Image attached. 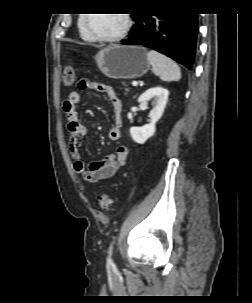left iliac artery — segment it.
Segmentation results:
<instances>
[{"mask_svg":"<svg viewBox=\"0 0 252 303\" xmlns=\"http://www.w3.org/2000/svg\"><path fill=\"white\" fill-rule=\"evenodd\" d=\"M112 249H113V243L110 245V247H109V257H108V262H111L112 261V259H111V254H112Z\"/></svg>","mask_w":252,"mask_h":303,"instance_id":"44dca946","label":"left iliac artery"}]
</instances>
